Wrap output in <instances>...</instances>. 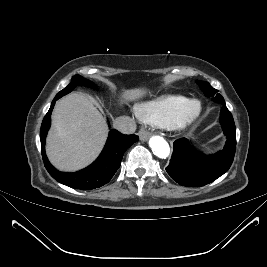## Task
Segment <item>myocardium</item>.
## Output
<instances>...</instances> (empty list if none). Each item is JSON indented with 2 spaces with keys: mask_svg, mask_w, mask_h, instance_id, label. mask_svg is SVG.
Segmentation results:
<instances>
[{
  "mask_svg": "<svg viewBox=\"0 0 267 267\" xmlns=\"http://www.w3.org/2000/svg\"><path fill=\"white\" fill-rule=\"evenodd\" d=\"M196 105L195 110H191ZM203 112V104L198 99L188 100L165 126L171 131H180L192 124Z\"/></svg>",
  "mask_w": 267,
  "mask_h": 267,
  "instance_id": "obj_1",
  "label": "myocardium"
}]
</instances>
